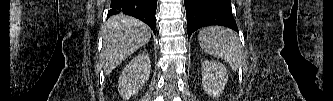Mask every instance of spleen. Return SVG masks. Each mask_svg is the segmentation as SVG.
<instances>
[{
    "mask_svg": "<svg viewBox=\"0 0 333 101\" xmlns=\"http://www.w3.org/2000/svg\"><path fill=\"white\" fill-rule=\"evenodd\" d=\"M204 52L227 61L232 69L238 70L244 60L243 48L238 36L224 27H206L198 35Z\"/></svg>",
    "mask_w": 333,
    "mask_h": 101,
    "instance_id": "1",
    "label": "spleen"
}]
</instances>
